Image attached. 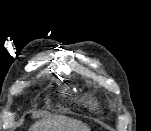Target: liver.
Returning <instances> with one entry per match:
<instances>
[{"instance_id":"liver-1","label":"liver","mask_w":151,"mask_h":131,"mask_svg":"<svg viewBox=\"0 0 151 131\" xmlns=\"http://www.w3.org/2000/svg\"><path fill=\"white\" fill-rule=\"evenodd\" d=\"M29 131H90V128L81 121L54 115L36 122Z\"/></svg>"}]
</instances>
